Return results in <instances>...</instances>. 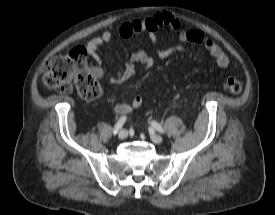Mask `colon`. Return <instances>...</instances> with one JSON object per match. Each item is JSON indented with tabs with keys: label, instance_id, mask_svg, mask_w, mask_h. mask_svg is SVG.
Returning <instances> with one entry per match:
<instances>
[{
	"label": "colon",
	"instance_id": "1",
	"mask_svg": "<svg viewBox=\"0 0 275 215\" xmlns=\"http://www.w3.org/2000/svg\"><path fill=\"white\" fill-rule=\"evenodd\" d=\"M42 74L44 84L59 93L68 94L76 89L87 100L97 99L102 93L100 84L90 73L86 51L81 47L46 60ZM224 89L239 94L243 90V83L230 76L224 82Z\"/></svg>",
	"mask_w": 275,
	"mask_h": 215
}]
</instances>
